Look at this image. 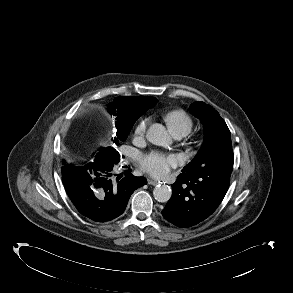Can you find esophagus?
I'll return each mask as SVG.
<instances>
[{"instance_id": "obj_1", "label": "esophagus", "mask_w": 293, "mask_h": 293, "mask_svg": "<svg viewBox=\"0 0 293 293\" xmlns=\"http://www.w3.org/2000/svg\"><path fill=\"white\" fill-rule=\"evenodd\" d=\"M159 183H161V182H159V181H157V180H154V179H151V178H148V184H149V185L156 186V185H158Z\"/></svg>"}]
</instances>
